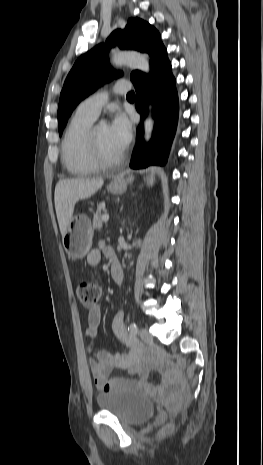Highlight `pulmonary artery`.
<instances>
[{
  "label": "pulmonary artery",
  "mask_w": 263,
  "mask_h": 465,
  "mask_svg": "<svg viewBox=\"0 0 263 465\" xmlns=\"http://www.w3.org/2000/svg\"><path fill=\"white\" fill-rule=\"evenodd\" d=\"M130 90V85L127 82L119 81L113 86V92L115 94H124ZM108 100L107 91L96 92L86 99H84L78 106V111L90 116L92 118H97L102 107L106 104Z\"/></svg>",
  "instance_id": "obj_1"
}]
</instances>
